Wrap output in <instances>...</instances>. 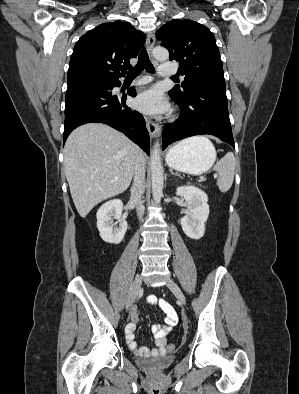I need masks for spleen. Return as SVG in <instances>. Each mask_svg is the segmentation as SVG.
I'll return each instance as SVG.
<instances>
[{"instance_id": "1", "label": "spleen", "mask_w": 299, "mask_h": 394, "mask_svg": "<svg viewBox=\"0 0 299 394\" xmlns=\"http://www.w3.org/2000/svg\"><path fill=\"white\" fill-rule=\"evenodd\" d=\"M187 140H196L207 145H212L209 139L205 137H194ZM184 142V141H182ZM181 143V142H180ZM236 160L232 152H228L223 158H221L214 166V171L219 175L217 179V186L222 193L227 192L233 183L235 173Z\"/></svg>"}]
</instances>
